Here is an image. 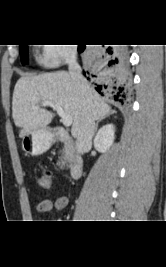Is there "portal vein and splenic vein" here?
Wrapping results in <instances>:
<instances>
[{"mask_svg":"<svg viewBox=\"0 0 166 267\" xmlns=\"http://www.w3.org/2000/svg\"><path fill=\"white\" fill-rule=\"evenodd\" d=\"M41 105L52 107L54 110L57 111L58 115L61 117L63 125L66 126V127L71 126L72 121H73L72 120V116L67 114V113H65L64 110L60 106H58V105H56V104H54V103H52L50 101H45Z\"/></svg>","mask_w":166,"mask_h":267,"instance_id":"obj_1","label":"portal vein and splenic vein"}]
</instances>
